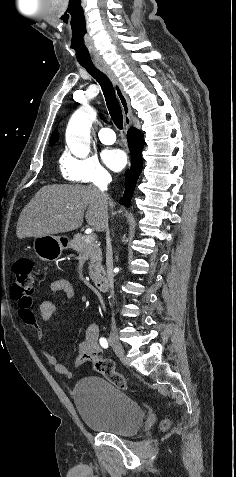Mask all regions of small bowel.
Listing matches in <instances>:
<instances>
[{"label":"small bowel","instance_id":"1","mask_svg":"<svg viewBox=\"0 0 236 477\" xmlns=\"http://www.w3.org/2000/svg\"><path fill=\"white\" fill-rule=\"evenodd\" d=\"M49 292L53 295L54 300H44L38 306V316L41 321H48L57 311L58 303L56 298L63 293L68 299H72L75 295L73 284L64 277L54 279L49 285ZM20 318L29 327L40 332V327L36 316L30 309H18ZM102 354V346L99 341V326L96 323H90L85 329L84 340L78 345L76 355L71 366L60 363L55 354L47 347L43 348V355L48 364H50L55 372L72 379L75 377L72 368L78 367L86 362H93Z\"/></svg>","mask_w":236,"mask_h":477}]
</instances>
